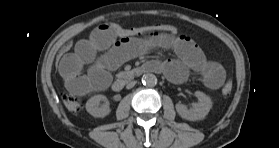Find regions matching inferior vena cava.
I'll use <instances>...</instances> for the list:
<instances>
[{"instance_id":"obj_1","label":"inferior vena cava","mask_w":279,"mask_h":148,"mask_svg":"<svg viewBox=\"0 0 279 148\" xmlns=\"http://www.w3.org/2000/svg\"><path fill=\"white\" fill-rule=\"evenodd\" d=\"M135 84H136V81H131L130 83L127 84L126 88L130 89V88L134 87Z\"/></svg>"}]
</instances>
